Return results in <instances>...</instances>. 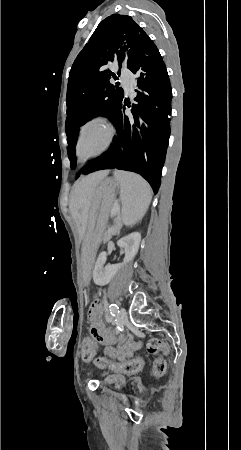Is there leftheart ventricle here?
I'll use <instances>...</instances> for the list:
<instances>
[{
    "mask_svg": "<svg viewBox=\"0 0 241 450\" xmlns=\"http://www.w3.org/2000/svg\"><path fill=\"white\" fill-rule=\"evenodd\" d=\"M91 122H99V120H93ZM102 128L103 127H100V128L99 127H82L81 130H89V132H94L97 135H95L94 137H90V138H91V140H96V138L100 136L99 131L102 130ZM80 137H81V135H80Z\"/></svg>",
    "mask_w": 241,
    "mask_h": 450,
    "instance_id": "obj_1",
    "label": "left heart ventricle"
}]
</instances>
